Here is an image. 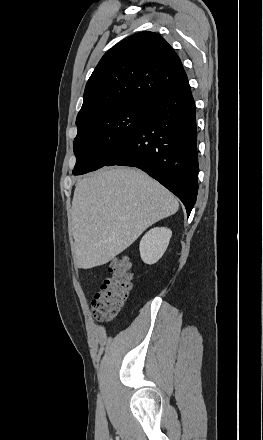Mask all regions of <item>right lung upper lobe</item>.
<instances>
[{"mask_svg": "<svg viewBox=\"0 0 263 440\" xmlns=\"http://www.w3.org/2000/svg\"><path fill=\"white\" fill-rule=\"evenodd\" d=\"M187 80L178 55L158 34L140 32L108 50L90 76L76 125L107 109L149 103Z\"/></svg>", "mask_w": 263, "mask_h": 440, "instance_id": "cb5924a9", "label": "right lung upper lobe"}]
</instances>
